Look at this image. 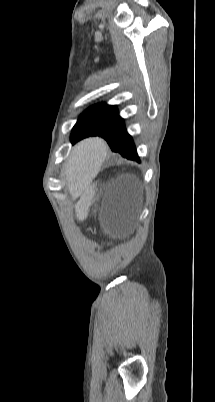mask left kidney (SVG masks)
<instances>
[{
  "instance_id": "obj_1",
  "label": "left kidney",
  "mask_w": 215,
  "mask_h": 402,
  "mask_svg": "<svg viewBox=\"0 0 215 402\" xmlns=\"http://www.w3.org/2000/svg\"><path fill=\"white\" fill-rule=\"evenodd\" d=\"M92 191H97V186H92ZM86 198H92V193H86ZM77 206V216L76 219L78 222H87L89 219L88 214L86 213V209H90L93 206L92 201L90 200H78L76 203Z\"/></svg>"
}]
</instances>
